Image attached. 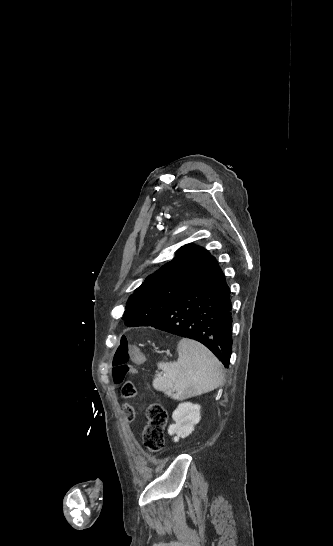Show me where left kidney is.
<instances>
[{
	"mask_svg": "<svg viewBox=\"0 0 333 546\" xmlns=\"http://www.w3.org/2000/svg\"><path fill=\"white\" fill-rule=\"evenodd\" d=\"M173 421L168 429L169 435H176L173 440L178 442L179 438H185L194 431V426L199 423L200 406L191 402L180 403L172 414Z\"/></svg>",
	"mask_w": 333,
	"mask_h": 546,
	"instance_id": "obj_1",
	"label": "left kidney"
}]
</instances>
